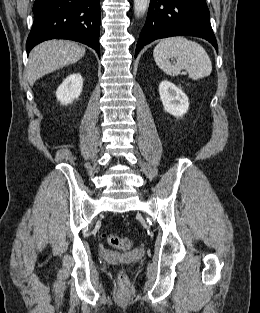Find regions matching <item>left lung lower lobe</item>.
Returning a JSON list of instances; mask_svg holds the SVG:
<instances>
[{"mask_svg": "<svg viewBox=\"0 0 260 313\" xmlns=\"http://www.w3.org/2000/svg\"><path fill=\"white\" fill-rule=\"evenodd\" d=\"M177 35L204 38L218 50L205 0H151L135 57L146 44Z\"/></svg>", "mask_w": 260, "mask_h": 313, "instance_id": "left-lung-lower-lobe-1", "label": "left lung lower lobe"}]
</instances>
